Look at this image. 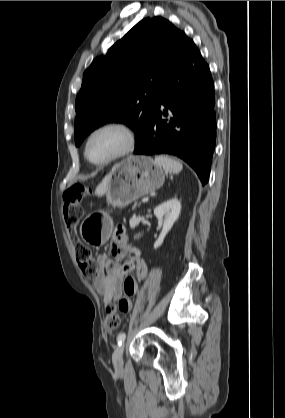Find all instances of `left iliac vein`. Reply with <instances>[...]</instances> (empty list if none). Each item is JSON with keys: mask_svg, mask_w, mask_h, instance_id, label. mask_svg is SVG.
<instances>
[{"mask_svg": "<svg viewBox=\"0 0 285 418\" xmlns=\"http://www.w3.org/2000/svg\"><path fill=\"white\" fill-rule=\"evenodd\" d=\"M125 344L122 343L119 345L113 353V365L116 371L122 370L123 367V352H124Z\"/></svg>", "mask_w": 285, "mask_h": 418, "instance_id": "4c4485c4", "label": "left iliac vein"}]
</instances>
